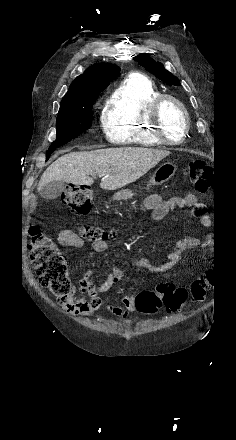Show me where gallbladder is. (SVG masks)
Wrapping results in <instances>:
<instances>
[{"mask_svg":"<svg viewBox=\"0 0 236 440\" xmlns=\"http://www.w3.org/2000/svg\"><path fill=\"white\" fill-rule=\"evenodd\" d=\"M65 188V183L62 181H54L45 185L40 191V195L44 200H54L60 196Z\"/></svg>","mask_w":236,"mask_h":440,"instance_id":"bac80fb5","label":"gallbladder"}]
</instances>
